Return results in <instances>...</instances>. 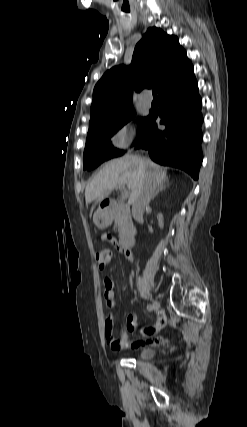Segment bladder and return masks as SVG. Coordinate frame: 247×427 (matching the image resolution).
I'll return each instance as SVG.
<instances>
[{
    "instance_id": "obj_1",
    "label": "bladder",
    "mask_w": 247,
    "mask_h": 427,
    "mask_svg": "<svg viewBox=\"0 0 247 427\" xmlns=\"http://www.w3.org/2000/svg\"><path fill=\"white\" fill-rule=\"evenodd\" d=\"M154 355V349L151 347H144L139 350L138 358L147 360L150 359Z\"/></svg>"
}]
</instances>
